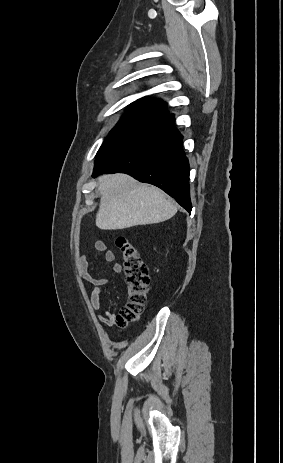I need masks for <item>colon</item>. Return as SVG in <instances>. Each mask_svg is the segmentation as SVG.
<instances>
[{
  "mask_svg": "<svg viewBox=\"0 0 283 463\" xmlns=\"http://www.w3.org/2000/svg\"><path fill=\"white\" fill-rule=\"evenodd\" d=\"M116 246L122 256L127 292L126 304L116 316L115 322L120 327L137 321L145 308L150 291V278L136 246L126 237L118 236Z\"/></svg>",
  "mask_w": 283,
  "mask_h": 463,
  "instance_id": "obj_1",
  "label": "colon"
}]
</instances>
